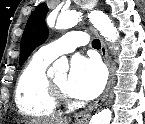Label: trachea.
I'll use <instances>...</instances> for the list:
<instances>
[{
  "instance_id": "1",
  "label": "trachea",
  "mask_w": 145,
  "mask_h": 124,
  "mask_svg": "<svg viewBox=\"0 0 145 124\" xmlns=\"http://www.w3.org/2000/svg\"><path fill=\"white\" fill-rule=\"evenodd\" d=\"M92 47L95 49H99L101 47V43H100L99 39H94L92 41Z\"/></svg>"
}]
</instances>
